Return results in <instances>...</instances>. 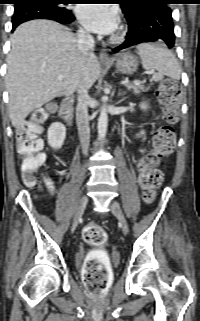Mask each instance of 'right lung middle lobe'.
<instances>
[{
    "label": "right lung middle lobe",
    "mask_w": 200,
    "mask_h": 321,
    "mask_svg": "<svg viewBox=\"0 0 200 321\" xmlns=\"http://www.w3.org/2000/svg\"><path fill=\"white\" fill-rule=\"evenodd\" d=\"M69 0H35L41 4H45L57 10H68L62 5H67Z\"/></svg>",
    "instance_id": "1"
}]
</instances>
